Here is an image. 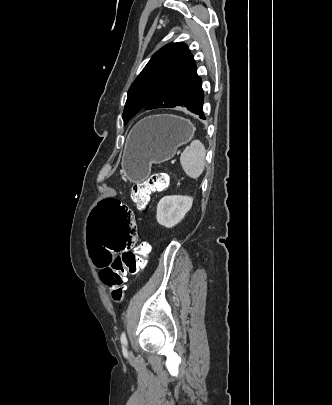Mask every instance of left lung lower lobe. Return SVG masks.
Masks as SVG:
<instances>
[{
  "label": "left lung lower lobe",
  "instance_id": "1",
  "mask_svg": "<svg viewBox=\"0 0 332 405\" xmlns=\"http://www.w3.org/2000/svg\"><path fill=\"white\" fill-rule=\"evenodd\" d=\"M203 102H204V92H203V89L201 88L197 105L193 109H190L189 111L193 112L194 114L199 115L200 118L205 119L203 111H202Z\"/></svg>",
  "mask_w": 332,
  "mask_h": 405
}]
</instances>
